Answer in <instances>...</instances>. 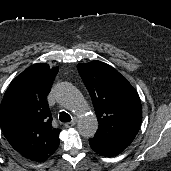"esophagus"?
<instances>
[{"instance_id":"obj_1","label":"esophagus","mask_w":171,"mask_h":171,"mask_svg":"<svg viewBox=\"0 0 171 171\" xmlns=\"http://www.w3.org/2000/svg\"><path fill=\"white\" fill-rule=\"evenodd\" d=\"M76 123H77V118L74 117V118L72 119L71 122L65 123L64 126H65L66 128H70V127H73L74 125H76Z\"/></svg>"}]
</instances>
